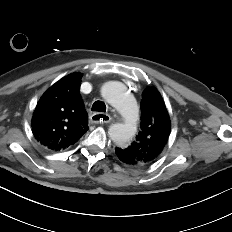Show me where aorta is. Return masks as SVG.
<instances>
[{"instance_id": "aorta-1", "label": "aorta", "mask_w": 232, "mask_h": 232, "mask_svg": "<svg viewBox=\"0 0 232 232\" xmlns=\"http://www.w3.org/2000/svg\"><path fill=\"white\" fill-rule=\"evenodd\" d=\"M102 97L114 106L123 116L124 123L113 124L109 128V137L117 145L127 143L136 133L139 110L134 97L124 84L118 81L105 83L101 89Z\"/></svg>"}]
</instances>
